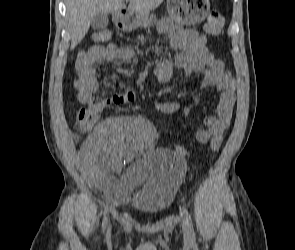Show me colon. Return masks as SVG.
<instances>
[{
	"label": "colon",
	"mask_w": 295,
	"mask_h": 250,
	"mask_svg": "<svg viewBox=\"0 0 295 250\" xmlns=\"http://www.w3.org/2000/svg\"><path fill=\"white\" fill-rule=\"evenodd\" d=\"M224 26V18L222 14L214 9L211 10L210 13L207 16L206 22L204 24V32L208 35H218ZM110 33L106 30H99L94 33L93 39L96 42H105L109 39ZM88 49H83L79 51L76 55L77 61H83L86 58ZM227 76H229L227 74ZM100 112L95 106H84L80 107L76 111V120L79 126L84 130H90L94 127L96 124ZM221 147V144L219 142H212L211 143V149L213 151H218Z\"/></svg>",
	"instance_id": "colon-1"
}]
</instances>
